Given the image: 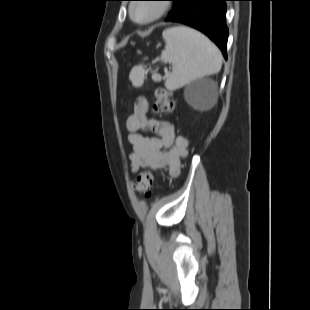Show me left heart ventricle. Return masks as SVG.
Here are the masks:
<instances>
[{"mask_svg": "<svg viewBox=\"0 0 310 310\" xmlns=\"http://www.w3.org/2000/svg\"><path fill=\"white\" fill-rule=\"evenodd\" d=\"M153 12V7L148 4L140 5L135 10V15L137 18H145Z\"/></svg>", "mask_w": 310, "mask_h": 310, "instance_id": "b2bd125f", "label": "left heart ventricle"}]
</instances>
